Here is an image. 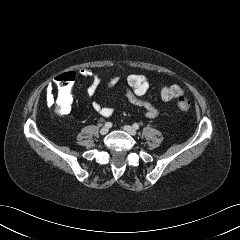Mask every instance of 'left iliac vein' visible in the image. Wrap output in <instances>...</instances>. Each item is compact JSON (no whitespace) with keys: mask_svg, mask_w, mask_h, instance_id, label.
<instances>
[{"mask_svg":"<svg viewBox=\"0 0 240 240\" xmlns=\"http://www.w3.org/2000/svg\"><path fill=\"white\" fill-rule=\"evenodd\" d=\"M123 129H124L127 133H129L130 135H133V136H135L136 133H137L136 130H135L133 127L129 126V125L124 126Z\"/></svg>","mask_w":240,"mask_h":240,"instance_id":"4c4485c4","label":"left iliac vein"}]
</instances>
